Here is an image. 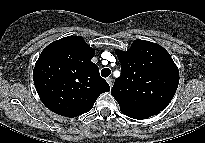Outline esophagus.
I'll use <instances>...</instances> for the list:
<instances>
[{
  "instance_id": "obj_1",
  "label": "esophagus",
  "mask_w": 205,
  "mask_h": 143,
  "mask_svg": "<svg viewBox=\"0 0 205 143\" xmlns=\"http://www.w3.org/2000/svg\"><path fill=\"white\" fill-rule=\"evenodd\" d=\"M106 81H107V83L109 84V86L112 87V85H113V79H112L111 77H108V78L106 79Z\"/></svg>"
}]
</instances>
